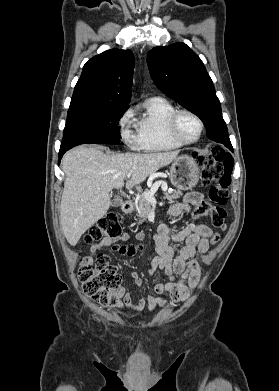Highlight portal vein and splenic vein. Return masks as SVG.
Instances as JSON below:
<instances>
[{
    "mask_svg": "<svg viewBox=\"0 0 279 391\" xmlns=\"http://www.w3.org/2000/svg\"><path fill=\"white\" fill-rule=\"evenodd\" d=\"M127 177L130 178V177H131V173H128V174H127ZM161 183H162L161 181L156 182V183L153 185V187L151 188V190L148 191V192H146V193L144 194V198H145L148 202H150V203H156V199H155V197H154V194H155V192L158 190V188H159V186L161 185ZM162 190H163V191H166V190H167V187H166V186H163V187H162Z\"/></svg>",
    "mask_w": 279,
    "mask_h": 391,
    "instance_id": "portal-vein-and-splenic-vein-1",
    "label": "portal vein and splenic vein"
}]
</instances>
